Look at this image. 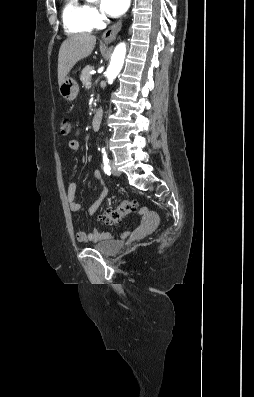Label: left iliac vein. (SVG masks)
Masks as SVG:
<instances>
[{"label": "left iliac vein", "mask_w": 254, "mask_h": 397, "mask_svg": "<svg viewBox=\"0 0 254 397\" xmlns=\"http://www.w3.org/2000/svg\"><path fill=\"white\" fill-rule=\"evenodd\" d=\"M111 172L114 176H119L121 173L118 171L113 162H111Z\"/></svg>", "instance_id": "4c4485c4"}]
</instances>
